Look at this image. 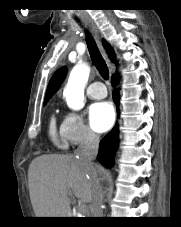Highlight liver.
Segmentation results:
<instances>
[{"instance_id":"obj_1","label":"liver","mask_w":181,"mask_h":227,"mask_svg":"<svg viewBox=\"0 0 181 227\" xmlns=\"http://www.w3.org/2000/svg\"><path fill=\"white\" fill-rule=\"evenodd\" d=\"M94 171L74 155L46 154L32 160L28 181L36 217H71L73 195L90 203Z\"/></svg>"}]
</instances>
